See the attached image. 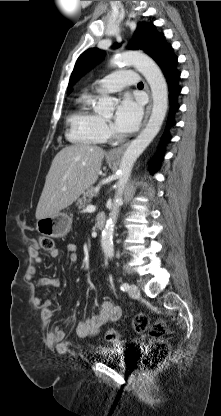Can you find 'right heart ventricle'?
<instances>
[{
    "label": "right heart ventricle",
    "instance_id": "e07e8e85",
    "mask_svg": "<svg viewBox=\"0 0 221 416\" xmlns=\"http://www.w3.org/2000/svg\"><path fill=\"white\" fill-rule=\"evenodd\" d=\"M93 96L83 94L68 118L70 130L68 137L72 142L86 145L105 141L103 120L92 108Z\"/></svg>",
    "mask_w": 221,
    "mask_h": 416
}]
</instances>
